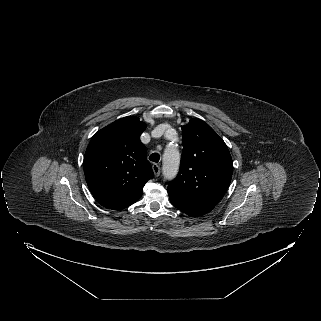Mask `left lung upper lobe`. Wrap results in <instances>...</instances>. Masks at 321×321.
<instances>
[{
	"label": "left lung upper lobe",
	"instance_id": "1",
	"mask_svg": "<svg viewBox=\"0 0 321 321\" xmlns=\"http://www.w3.org/2000/svg\"><path fill=\"white\" fill-rule=\"evenodd\" d=\"M183 151L178 176L168 193L184 200L215 206L229 187L233 162L225 142L203 120L182 126Z\"/></svg>",
	"mask_w": 321,
	"mask_h": 321
}]
</instances>
